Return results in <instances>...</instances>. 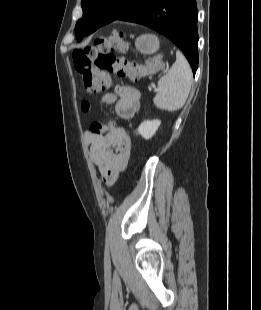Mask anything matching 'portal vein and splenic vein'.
Listing matches in <instances>:
<instances>
[{
    "label": "portal vein and splenic vein",
    "instance_id": "18ae733b",
    "mask_svg": "<svg viewBox=\"0 0 261 310\" xmlns=\"http://www.w3.org/2000/svg\"><path fill=\"white\" fill-rule=\"evenodd\" d=\"M149 90H151V88H149ZM154 91H155V92H157V91H158V89H154Z\"/></svg>",
    "mask_w": 261,
    "mask_h": 310
}]
</instances>
